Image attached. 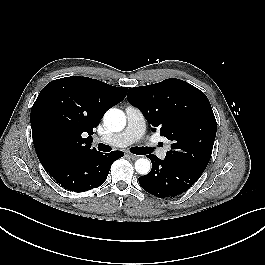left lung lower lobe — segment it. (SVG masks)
Here are the masks:
<instances>
[{"label":"left lung lower lobe","instance_id":"obj_1","mask_svg":"<svg viewBox=\"0 0 265 265\" xmlns=\"http://www.w3.org/2000/svg\"><path fill=\"white\" fill-rule=\"evenodd\" d=\"M152 170L139 177L141 187L148 193L160 197H174L188 190L201 175L180 166L160 160L151 154Z\"/></svg>","mask_w":265,"mask_h":265}]
</instances>
